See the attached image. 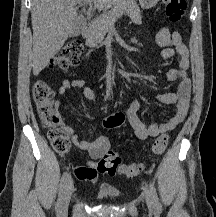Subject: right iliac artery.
<instances>
[{
    "mask_svg": "<svg viewBox=\"0 0 216 217\" xmlns=\"http://www.w3.org/2000/svg\"><path fill=\"white\" fill-rule=\"evenodd\" d=\"M69 179H70V174L68 172H65L61 178V182H60V186H59L58 200L56 203V210L57 211L60 210L62 194L64 192V189H65Z\"/></svg>",
    "mask_w": 216,
    "mask_h": 217,
    "instance_id": "82829eb1",
    "label": "right iliac artery"
}]
</instances>
